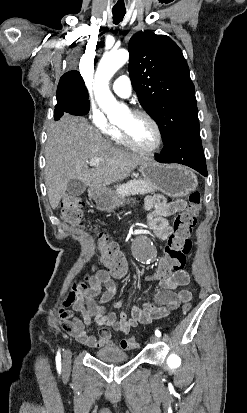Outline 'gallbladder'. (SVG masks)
I'll list each match as a JSON object with an SVG mask.
<instances>
[{
    "instance_id": "bac80fb5",
    "label": "gallbladder",
    "mask_w": 247,
    "mask_h": 413,
    "mask_svg": "<svg viewBox=\"0 0 247 413\" xmlns=\"http://www.w3.org/2000/svg\"><path fill=\"white\" fill-rule=\"evenodd\" d=\"M86 188L85 182L83 180H78V178H73V180H69L67 190L68 196H72V198H76L79 194H82Z\"/></svg>"
}]
</instances>
